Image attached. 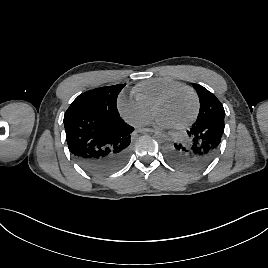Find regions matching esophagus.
I'll list each match as a JSON object with an SVG mask.
<instances>
[{"mask_svg": "<svg viewBox=\"0 0 268 268\" xmlns=\"http://www.w3.org/2000/svg\"><path fill=\"white\" fill-rule=\"evenodd\" d=\"M137 132H139V133H153L155 131L151 128H138Z\"/></svg>", "mask_w": 268, "mask_h": 268, "instance_id": "34e87169", "label": "esophagus"}]
</instances>
